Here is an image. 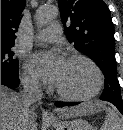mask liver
Listing matches in <instances>:
<instances>
[{
	"label": "liver",
	"mask_w": 123,
	"mask_h": 130,
	"mask_svg": "<svg viewBox=\"0 0 123 130\" xmlns=\"http://www.w3.org/2000/svg\"><path fill=\"white\" fill-rule=\"evenodd\" d=\"M100 104H82L75 108H62L57 110V113L62 119L74 118L92 114ZM24 102L22 95L1 85V130H20L22 128ZM37 115L34 109L29 113V128L37 130L36 123Z\"/></svg>",
	"instance_id": "6515ba94"
}]
</instances>
